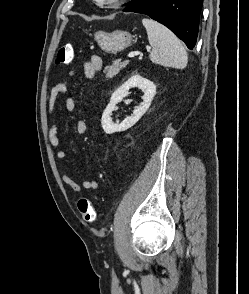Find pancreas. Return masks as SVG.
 Masks as SVG:
<instances>
[{
  "mask_svg": "<svg viewBox=\"0 0 249 294\" xmlns=\"http://www.w3.org/2000/svg\"><path fill=\"white\" fill-rule=\"evenodd\" d=\"M128 61L120 62V60H115L112 65L106 66L104 72L107 78H112L117 75L122 68H125Z\"/></svg>",
  "mask_w": 249,
  "mask_h": 294,
  "instance_id": "1",
  "label": "pancreas"
}]
</instances>
